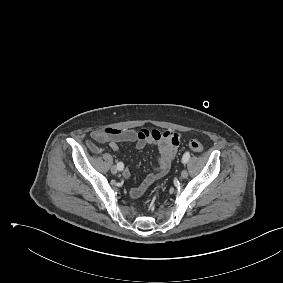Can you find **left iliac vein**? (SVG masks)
Masks as SVG:
<instances>
[{"label":"left iliac vein","instance_id":"left-iliac-vein-1","mask_svg":"<svg viewBox=\"0 0 283 283\" xmlns=\"http://www.w3.org/2000/svg\"><path fill=\"white\" fill-rule=\"evenodd\" d=\"M187 177H188V172H187V170H183V171L181 172V178L185 179V178H187Z\"/></svg>","mask_w":283,"mask_h":283}]
</instances>
